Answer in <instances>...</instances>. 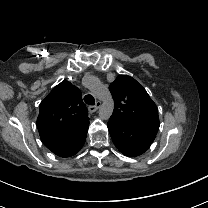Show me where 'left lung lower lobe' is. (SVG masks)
<instances>
[{"label": "left lung lower lobe", "mask_w": 208, "mask_h": 208, "mask_svg": "<svg viewBox=\"0 0 208 208\" xmlns=\"http://www.w3.org/2000/svg\"><path fill=\"white\" fill-rule=\"evenodd\" d=\"M109 133L117 149L128 157H136L148 150L152 142L139 134L133 127L109 120Z\"/></svg>", "instance_id": "0a47b994"}]
</instances>
